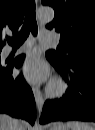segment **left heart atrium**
Segmentation results:
<instances>
[{"label":"left heart atrium","instance_id":"obj_1","mask_svg":"<svg viewBox=\"0 0 95 130\" xmlns=\"http://www.w3.org/2000/svg\"><path fill=\"white\" fill-rule=\"evenodd\" d=\"M21 74L30 82L37 83L48 78V68L40 55L31 53L20 67Z\"/></svg>","mask_w":95,"mask_h":130}]
</instances>
